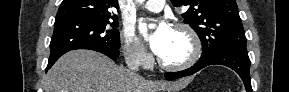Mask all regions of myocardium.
<instances>
[{
	"label": "myocardium",
	"mask_w": 289,
	"mask_h": 92,
	"mask_svg": "<svg viewBox=\"0 0 289 92\" xmlns=\"http://www.w3.org/2000/svg\"><path fill=\"white\" fill-rule=\"evenodd\" d=\"M174 29L177 31H181L188 36L192 45L191 54L188 59H186L185 61L181 63H174V64L167 63L161 57L158 58V62L160 66L166 70H170V71L185 70V69L192 67L200 59V56L202 53V43L197 32L189 24L177 23L174 26Z\"/></svg>",
	"instance_id": "obj_1"
}]
</instances>
